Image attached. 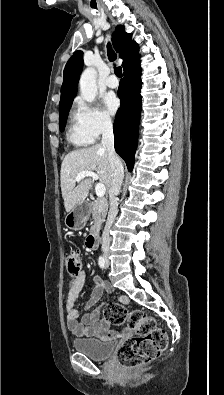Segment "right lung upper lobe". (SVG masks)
Masks as SVG:
<instances>
[{
  "label": "right lung upper lobe",
  "mask_w": 224,
  "mask_h": 395,
  "mask_svg": "<svg viewBox=\"0 0 224 395\" xmlns=\"http://www.w3.org/2000/svg\"><path fill=\"white\" fill-rule=\"evenodd\" d=\"M131 38L132 34L126 33L122 26H117L115 33H113V44L120 58L123 59V68H126L130 63L140 57L138 54V45ZM82 67L83 53L78 50L69 59L63 72L59 110L72 104L77 92V84Z\"/></svg>",
  "instance_id": "right-lung-upper-lobe-1"
}]
</instances>
